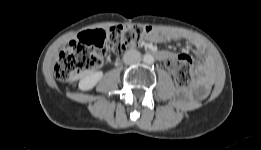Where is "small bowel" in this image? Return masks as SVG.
<instances>
[{"instance_id": "obj_1", "label": "small bowel", "mask_w": 261, "mask_h": 150, "mask_svg": "<svg viewBox=\"0 0 261 150\" xmlns=\"http://www.w3.org/2000/svg\"><path fill=\"white\" fill-rule=\"evenodd\" d=\"M180 38L190 41L196 47V49L198 51H200V52L204 51V48L199 41H197L196 39H193L189 36L182 35L178 32L152 29L151 32L147 35V39L150 42H154V43L172 41V40H177ZM157 56L159 59L164 60L166 64L170 58H173V55L169 51H166V50L159 51L157 53Z\"/></svg>"}]
</instances>
